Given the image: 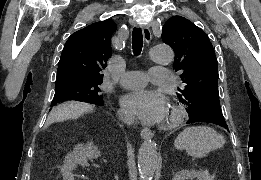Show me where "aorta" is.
<instances>
[{
  "label": "aorta",
  "mask_w": 261,
  "mask_h": 180,
  "mask_svg": "<svg viewBox=\"0 0 261 180\" xmlns=\"http://www.w3.org/2000/svg\"><path fill=\"white\" fill-rule=\"evenodd\" d=\"M152 61L159 64L170 63L174 58L173 50L167 45H157L150 49ZM157 163V145L154 141L146 140L138 152V167L141 180H152Z\"/></svg>",
  "instance_id": "aorta-1"
}]
</instances>
